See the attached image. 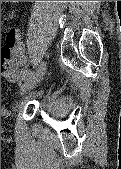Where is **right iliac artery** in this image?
I'll list each match as a JSON object with an SVG mask.
<instances>
[{"mask_svg":"<svg viewBox=\"0 0 121 169\" xmlns=\"http://www.w3.org/2000/svg\"><path fill=\"white\" fill-rule=\"evenodd\" d=\"M33 75H34V72H32V71H30V70H27V71L24 73V75H23V79L25 80V79H27V78L33 76Z\"/></svg>","mask_w":121,"mask_h":169,"instance_id":"obj_1","label":"right iliac artery"}]
</instances>
